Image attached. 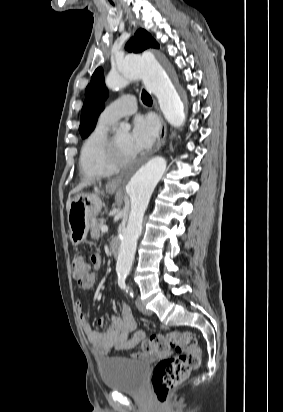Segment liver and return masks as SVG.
<instances>
[{"instance_id":"liver-1","label":"liver","mask_w":283,"mask_h":412,"mask_svg":"<svg viewBox=\"0 0 283 412\" xmlns=\"http://www.w3.org/2000/svg\"><path fill=\"white\" fill-rule=\"evenodd\" d=\"M92 183V181H83L82 183H80L75 189H73L72 191H70L67 202H66V210L67 212L70 209L71 206V202H72V198L71 195L82 190L84 187H87L88 185H90Z\"/></svg>"}]
</instances>
